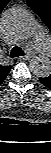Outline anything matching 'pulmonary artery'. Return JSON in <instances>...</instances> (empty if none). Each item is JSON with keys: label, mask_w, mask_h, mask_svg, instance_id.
<instances>
[{"label": "pulmonary artery", "mask_w": 51, "mask_h": 153, "mask_svg": "<svg viewBox=\"0 0 51 153\" xmlns=\"http://www.w3.org/2000/svg\"><path fill=\"white\" fill-rule=\"evenodd\" d=\"M34 43H35V47L36 49L42 53V54H45V53H48L49 52V49H50V42L49 40L44 37L43 35L41 34H36L35 35V38H34Z\"/></svg>", "instance_id": "pulmonary-artery-1"}]
</instances>
